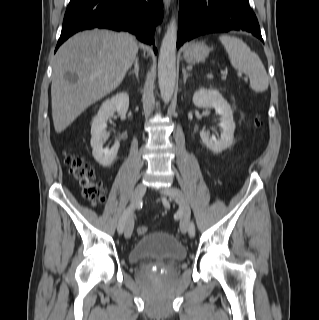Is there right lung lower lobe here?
<instances>
[{"label":"right lung lower lobe","mask_w":319,"mask_h":320,"mask_svg":"<svg viewBox=\"0 0 319 320\" xmlns=\"http://www.w3.org/2000/svg\"><path fill=\"white\" fill-rule=\"evenodd\" d=\"M162 19V0H71L56 50L74 33L94 27L128 31L151 44Z\"/></svg>","instance_id":"obj_1"}]
</instances>
